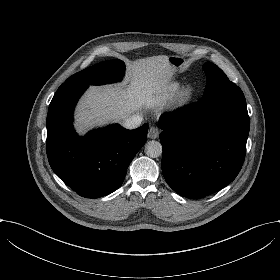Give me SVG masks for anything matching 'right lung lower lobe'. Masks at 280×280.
I'll use <instances>...</instances> for the list:
<instances>
[{"mask_svg":"<svg viewBox=\"0 0 280 280\" xmlns=\"http://www.w3.org/2000/svg\"><path fill=\"white\" fill-rule=\"evenodd\" d=\"M86 84H62L47 115V157L55 174L80 196L98 198L118 189L127 168L146 142L148 125L127 130L114 124L80 137L74 107Z\"/></svg>","mask_w":280,"mask_h":280,"instance_id":"98d812e1","label":"right lung lower lobe"}]
</instances>
